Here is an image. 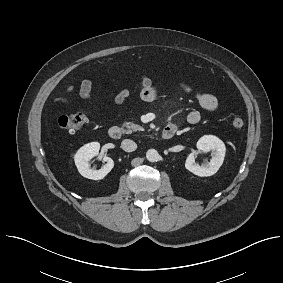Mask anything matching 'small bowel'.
<instances>
[{"label":"small bowel","instance_id":"c3829d8e","mask_svg":"<svg viewBox=\"0 0 283 283\" xmlns=\"http://www.w3.org/2000/svg\"><path fill=\"white\" fill-rule=\"evenodd\" d=\"M141 83L139 88L136 90L138 95L143 101L152 102L158 97V90L151 81V79L145 75H141ZM183 89L190 93L192 90L188 85H183ZM91 89L92 84L89 80H84L78 91H75L73 88L69 89L70 93H76L80 98L86 101H92L91 97ZM134 91L131 89H123L119 91L114 97V103L117 106L122 105L126 99L133 93ZM195 101L199 104V106L207 111H215L218 108V100L217 98L206 92L198 91L193 93ZM55 102L70 105L71 102L67 97H59L55 99ZM187 122L190 125H195L201 120V113L198 110H192L188 113Z\"/></svg>","mask_w":283,"mask_h":283}]
</instances>
